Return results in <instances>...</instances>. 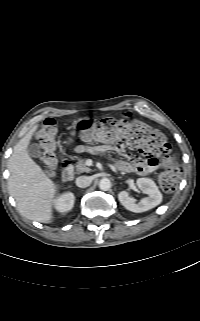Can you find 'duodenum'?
Here are the masks:
<instances>
[{
  "label": "duodenum",
  "mask_w": 200,
  "mask_h": 321,
  "mask_svg": "<svg viewBox=\"0 0 200 321\" xmlns=\"http://www.w3.org/2000/svg\"><path fill=\"white\" fill-rule=\"evenodd\" d=\"M61 178L65 182L70 181L73 178V167L69 159L63 161Z\"/></svg>",
  "instance_id": "obj_1"
}]
</instances>
